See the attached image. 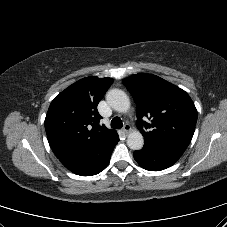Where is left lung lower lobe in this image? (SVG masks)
Instances as JSON below:
<instances>
[{
	"label": "left lung lower lobe",
	"mask_w": 227,
	"mask_h": 227,
	"mask_svg": "<svg viewBox=\"0 0 227 227\" xmlns=\"http://www.w3.org/2000/svg\"><path fill=\"white\" fill-rule=\"evenodd\" d=\"M182 154V151L166 145L148 143L133 153L136 162L149 171H160L172 166Z\"/></svg>",
	"instance_id": "left-lung-lower-lobe-1"
}]
</instances>
